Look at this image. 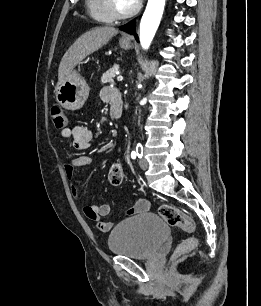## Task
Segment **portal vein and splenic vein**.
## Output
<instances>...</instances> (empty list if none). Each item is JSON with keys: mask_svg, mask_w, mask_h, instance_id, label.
Returning <instances> with one entry per match:
<instances>
[{"mask_svg": "<svg viewBox=\"0 0 261 306\" xmlns=\"http://www.w3.org/2000/svg\"><path fill=\"white\" fill-rule=\"evenodd\" d=\"M122 80H123V76L119 75V76L117 77V81H122Z\"/></svg>", "mask_w": 261, "mask_h": 306, "instance_id": "portal-vein-and-splenic-vein-1", "label": "portal vein and splenic vein"}]
</instances>
